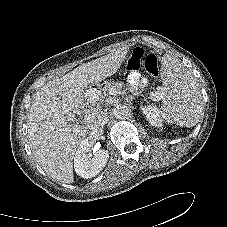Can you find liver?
<instances>
[{"label": "liver", "mask_w": 227, "mask_h": 227, "mask_svg": "<svg viewBox=\"0 0 227 227\" xmlns=\"http://www.w3.org/2000/svg\"><path fill=\"white\" fill-rule=\"evenodd\" d=\"M127 53L128 47H123L79 65L32 96L27 119L29 143L38 164L55 180L74 181V155L89 133L88 126L74 124L85 105L87 88L115 74Z\"/></svg>", "instance_id": "6515ba94"}]
</instances>
